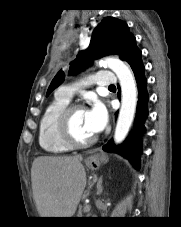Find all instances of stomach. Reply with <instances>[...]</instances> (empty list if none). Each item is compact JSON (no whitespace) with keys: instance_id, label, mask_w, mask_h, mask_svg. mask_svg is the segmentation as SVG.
Masks as SVG:
<instances>
[{"instance_id":"0dacf381","label":"stomach","mask_w":181,"mask_h":227,"mask_svg":"<svg viewBox=\"0 0 181 227\" xmlns=\"http://www.w3.org/2000/svg\"><path fill=\"white\" fill-rule=\"evenodd\" d=\"M106 162V156L103 154H93L85 159L87 169L97 170L102 163Z\"/></svg>"}]
</instances>
